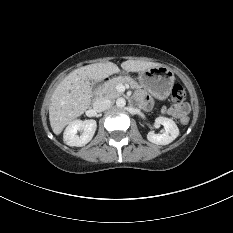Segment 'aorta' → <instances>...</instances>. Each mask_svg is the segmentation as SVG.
<instances>
[{
    "label": "aorta",
    "mask_w": 233,
    "mask_h": 233,
    "mask_svg": "<svg viewBox=\"0 0 233 233\" xmlns=\"http://www.w3.org/2000/svg\"><path fill=\"white\" fill-rule=\"evenodd\" d=\"M116 105L118 107H124L126 105V100L124 98H118L116 100Z\"/></svg>",
    "instance_id": "obj_1"
}]
</instances>
